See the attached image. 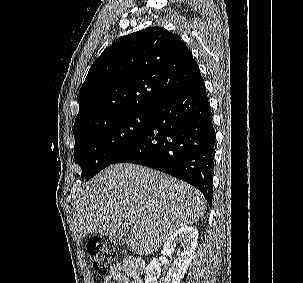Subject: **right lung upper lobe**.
<instances>
[{
    "mask_svg": "<svg viewBox=\"0 0 303 283\" xmlns=\"http://www.w3.org/2000/svg\"><path fill=\"white\" fill-rule=\"evenodd\" d=\"M202 79L181 38L161 27L120 38L91 66L80 89L74 133L132 111H152Z\"/></svg>",
    "mask_w": 303,
    "mask_h": 283,
    "instance_id": "right-lung-upper-lobe-1",
    "label": "right lung upper lobe"
}]
</instances>
